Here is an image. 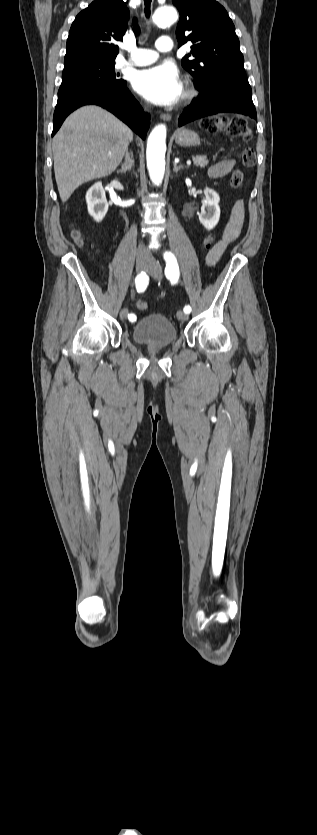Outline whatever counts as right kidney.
<instances>
[{
	"label": "right kidney",
	"mask_w": 317,
	"mask_h": 835,
	"mask_svg": "<svg viewBox=\"0 0 317 835\" xmlns=\"http://www.w3.org/2000/svg\"><path fill=\"white\" fill-rule=\"evenodd\" d=\"M89 214L96 222H101L108 211V203L101 182H96L86 193Z\"/></svg>",
	"instance_id": "right-kidney-1"
}]
</instances>
